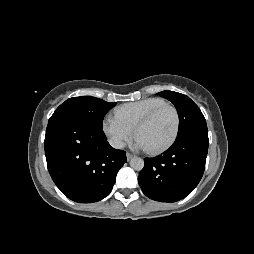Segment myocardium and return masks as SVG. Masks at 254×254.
<instances>
[{"label": "myocardium", "mask_w": 254, "mask_h": 254, "mask_svg": "<svg viewBox=\"0 0 254 254\" xmlns=\"http://www.w3.org/2000/svg\"><path fill=\"white\" fill-rule=\"evenodd\" d=\"M164 108H170L173 113H174V117H175V125H174V130L172 135L170 136V138L161 146L156 147V148H151L148 149V151L151 154H158L161 153L163 151H165L166 149H168L176 140L178 133H179V128H180V116H179V112L177 110V108L171 104V103H163L157 107H155L153 110H151L147 115H145L135 126L134 128V132L137 135L138 131L145 126L146 124H148L162 109Z\"/></svg>", "instance_id": "f54148a6"}]
</instances>
